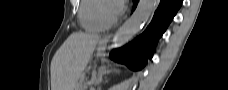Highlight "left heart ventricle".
<instances>
[{
	"label": "left heart ventricle",
	"mask_w": 228,
	"mask_h": 90,
	"mask_svg": "<svg viewBox=\"0 0 228 90\" xmlns=\"http://www.w3.org/2000/svg\"><path fill=\"white\" fill-rule=\"evenodd\" d=\"M106 13H107V15H109V16H114V12H113L112 7H111L110 5H108V6L106 7Z\"/></svg>",
	"instance_id": "obj_1"
}]
</instances>
